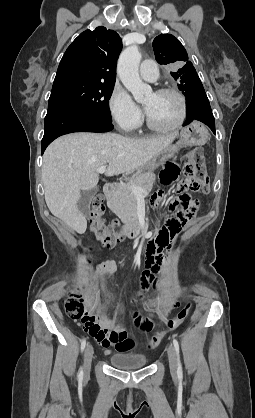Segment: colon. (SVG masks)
I'll return each mask as SVG.
<instances>
[{"mask_svg":"<svg viewBox=\"0 0 255 418\" xmlns=\"http://www.w3.org/2000/svg\"><path fill=\"white\" fill-rule=\"evenodd\" d=\"M184 181L179 186V195L171 202L173 208H178L176 218H171L162 225V227H173L174 232L180 227V221L190 222L198 210V202L193 200L189 191L208 192L209 177L205 169L202 151L197 149L188 153L184 158ZM162 197L161 192H157L153 197V202L157 203ZM103 198L98 196L94 199L90 209L91 230L95 235L97 242L104 248L114 247L121 239V233L116 228L107 227L102 219L104 214ZM180 220V221H179ZM156 234L159 237L161 229ZM172 237V236H171ZM83 284L79 283L69 294L65 304L67 314L76 320H81L85 330H93L97 327V316L87 313L84 308V298L82 295ZM190 310V304L182 308L178 314L167 321L165 329L153 337L149 346L154 348L162 334L167 330H173L178 327L187 317Z\"/></svg>","mask_w":255,"mask_h":418,"instance_id":"5ec220e1","label":"colon"}]
</instances>
